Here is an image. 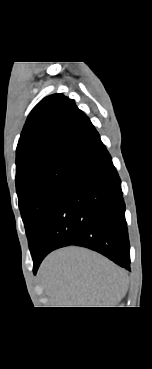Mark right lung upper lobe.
<instances>
[{
    "label": "right lung upper lobe",
    "mask_w": 152,
    "mask_h": 369,
    "mask_svg": "<svg viewBox=\"0 0 152 369\" xmlns=\"http://www.w3.org/2000/svg\"><path fill=\"white\" fill-rule=\"evenodd\" d=\"M100 141L89 118L63 94L44 98L30 112L16 150V181L59 161L76 162Z\"/></svg>",
    "instance_id": "1"
}]
</instances>
